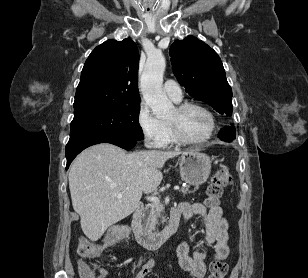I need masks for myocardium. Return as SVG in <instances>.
Wrapping results in <instances>:
<instances>
[{"mask_svg":"<svg viewBox=\"0 0 308 278\" xmlns=\"http://www.w3.org/2000/svg\"><path fill=\"white\" fill-rule=\"evenodd\" d=\"M176 110L178 112H183L187 109H190V108H197V109H200L202 110L203 112L206 113V115L209 117V120H210V129H209V132L208 134L202 138V139H191L189 137H187L180 129L179 127L172 123V122H169L167 121L174 137L180 142V143H183V144H190V145H196V144H203V143H206L208 142L214 135L215 131H216V119H215V116L213 114V112L207 108L205 105L203 104H200V103H196V102H185V103H181L179 105H177L176 107Z\"/></svg>","mask_w":308,"mask_h":278,"instance_id":"obj_1","label":"myocardium"}]
</instances>
